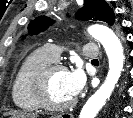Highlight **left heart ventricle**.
I'll return each mask as SVG.
<instances>
[{
	"mask_svg": "<svg viewBox=\"0 0 133 118\" xmlns=\"http://www.w3.org/2000/svg\"><path fill=\"white\" fill-rule=\"evenodd\" d=\"M66 74V71L57 69L50 77L49 98L55 104H64L73 99L67 90Z\"/></svg>",
	"mask_w": 133,
	"mask_h": 118,
	"instance_id": "left-heart-ventricle-1",
	"label": "left heart ventricle"
}]
</instances>
